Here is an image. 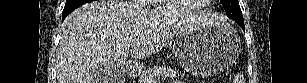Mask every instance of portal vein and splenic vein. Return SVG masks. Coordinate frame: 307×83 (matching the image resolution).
<instances>
[{"label":"portal vein and splenic vein","mask_w":307,"mask_h":83,"mask_svg":"<svg viewBox=\"0 0 307 83\" xmlns=\"http://www.w3.org/2000/svg\"><path fill=\"white\" fill-rule=\"evenodd\" d=\"M153 82V80L151 79V78H148L147 80H146V83H152Z\"/></svg>","instance_id":"obj_1"}]
</instances>
